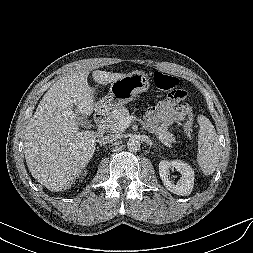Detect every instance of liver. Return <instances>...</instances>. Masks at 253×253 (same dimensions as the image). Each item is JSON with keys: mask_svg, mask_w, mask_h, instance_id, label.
<instances>
[{"mask_svg": "<svg viewBox=\"0 0 253 253\" xmlns=\"http://www.w3.org/2000/svg\"><path fill=\"white\" fill-rule=\"evenodd\" d=\"M89 70L67 74L44 94L24 134V153L32 176L47 189L71 187L95 151L96 133L79 131L75 109L81 115L98 111L94 90L87 82ZM95 82L108 84L125 74L96 70Z\"/></svg>", "mask_w": 253, "mask_h": 253, "instance_id": "liver-1", "label": "liver"}]
</instances>
